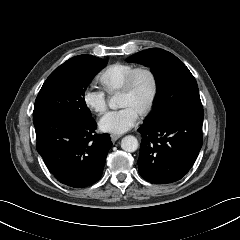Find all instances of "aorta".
I'll list each match as a JSON object with an SVG mask.
<instances>
[{
	"mask_svg": "<svg viewBox=\"0 0 240 240\" xmlns=\"http://www.w3.org/2000/svg\"><path fill=\"white\" fill-rule=\"evenodd\" d=\"M109 107L111 109L117 108V102L114 98L109 101ZM121 148L126 152H135L138 149V140L132 135L125 136L121 140Z\"/></svg>",
	"mask_w": 240,
	"mask_h": 240,
	"instance_id": "762f6f07",
	"label": "aorta"
}]
</instances>
